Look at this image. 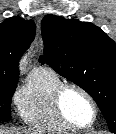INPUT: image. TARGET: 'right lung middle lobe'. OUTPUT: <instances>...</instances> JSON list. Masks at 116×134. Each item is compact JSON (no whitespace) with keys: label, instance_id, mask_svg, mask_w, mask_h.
I'll list each match as a JSON object with an SVG mask.
<instances>
[{"label":"right lung middle lobe","instance_id":"right-lung-middle-lobe-1","mask_svg":"<svg viewBox=\"0 0 116 134\" xmlns=\"http://www.w3.org/2000/svg\"><path fill=\"white\" fill-rule=\"evenodd\" d=\"M17 82L0 83V121H8L11 119V100L16 89Z\"/></svg>","mask_w":116,"mask_h":134}]
</instances>
